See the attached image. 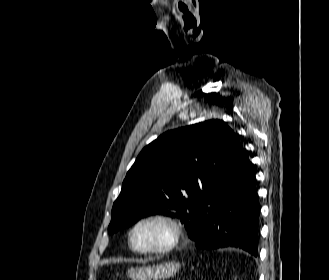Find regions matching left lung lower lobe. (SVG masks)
I'll return each instance as SVG.
<instances>
[{"instance_id":"1","label":"left lung lower lobe","mask_w":329,"mask_h":280,"mask_svg":"<svg viewBox=\"0 0 329 280\" xmlns=\"http://www.w3.org/2000/svg\"><path fill=\"white\" fill-rule=\"evenodd\" d=\"M233 175L220 193L203 201L197 231L188 234L200 249L236 247L257 256L259 203L253 166L243 148Z\"/></svg>"}]
</instances>
